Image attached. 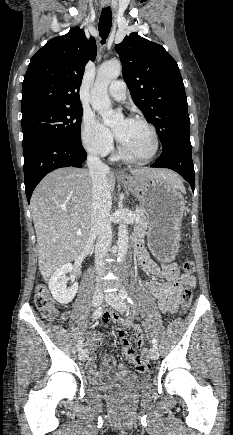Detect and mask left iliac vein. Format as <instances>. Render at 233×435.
<instances>
[{"mask_svg": "<svg viewBox=\"0 0 233 435\" xmlns=\"http://www.w3.org/2000/svg\"><path fill=\"white\" fill-rule=\"evenodd\" d=\"M105 301L110 304L119 313H124L127 309L126 303L118 294H107L105 296ZM149 356L151 359L156 360L159 357L157 348L151 347L149 350Z\"/></svg>", "mask_w": 233, "mask_h": 435, "instance_id": "4c4485c4", "label": "left iliac vein"}]
</instances>
